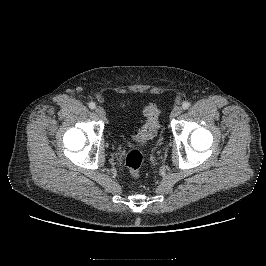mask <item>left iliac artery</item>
Segmentation results:
<instances>
[{
  "label": "left iliac artery",
  "mask_w": 266,
  "mask_h": 266,
  "mask_svg": "<svg viewBox=\"0 0 266 266\" xmlns=\"http://www.w3.org/2000/svg\"><path fill=\"white\" fill-rule=\"evenodd\" d=\"M190 102H188V101H185L183 104H182V108L184 109V110H186V109H188L189 107H190Z\"/></svg>",
  "instance_id": "1"
}]
</instances>
